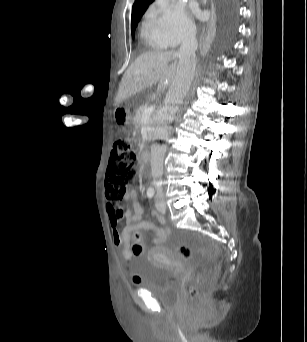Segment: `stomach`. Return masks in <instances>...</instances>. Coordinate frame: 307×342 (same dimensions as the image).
I'll use <instances>...</instances> for the list:
<instances>
[{
  "instance_id": "1",
  "label": "stomach",
  "mask_w": 307,
  "mask_h": 342,
  "mask_svg": "<svg viewBox=\"0 0 307 342\" xmlns=\"http://www.w3.org/2000/svg\"><path fill=\"white\" fill-rule=\"evenodd\" d=\"M114 117L118 124L124 126L130 125L131 117L127 110H124L122 108H116L114 111Z\"/></svg>"
}]
</instances>
